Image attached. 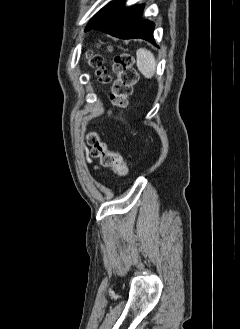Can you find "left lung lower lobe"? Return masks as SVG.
I'll use <instances>...</instances> for the list:
<instances>
[{"mask_svg": "<svg viewBox=\"0 0 240 329\" xmlns=\"http://www.w3.org/2000/svg\"><path fill=\"white\" fill-rule=\"evenodd\" d=\"M123 2L124 0L92 29L122 39L141 38L154 43V23L141 18L144 6L135 5L124 8Z\"/></svg>", "mask_w": 240, "mask_h": 329, "instance_id": "1", "label": "left lung lower lobe"}]
</instances>
